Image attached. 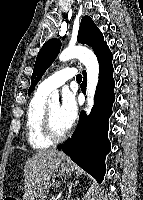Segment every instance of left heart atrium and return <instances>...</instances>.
<instances>
[{"label":"left heart atrium","mask_w":143,"mask_h":200,"mask_svg":"<svg viewBox=\"0 0 143 200\" xmlns=\"http://www.w3.org/2000/svg\"><path fill=\"white\" fill-rule=\"evenodd\" d=\"M59 115L67 128L72 126L77 117V103L75 95L69 90H65L62 94Z\"/></svg>","instance_id":"39dd6f15"}]
</instances>
